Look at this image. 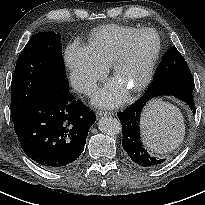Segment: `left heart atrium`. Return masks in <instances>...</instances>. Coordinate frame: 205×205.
I'll return each mask as SVG.
<instances>
[{
    "mask_svg": "<svg viewBox=\"0 0 205 205\" xmlns=\"http://www.w3.org/2000/svg\"><path fill=\"white\" fill-rule=\"evenodd\" d=\"M125 97V89L116 81L109 83L97 93L94 103L103 107H113Z\"/></svg>",
    "mask_w": 205,
    "mask_h": 205,
    "instance_id": "39dd6f15",
    "label": "left heart atrium"
}]
</instances>
